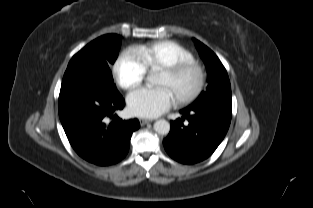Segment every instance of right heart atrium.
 I'll return each instance as SVG.
<instances>
[{
  "mask_svg": "<svg viewBox=\"0 0 313 208\" xmlns=\"http://www.w3.org/2000/svg\"><path fill=\"white\" fill-rule=\"evenodd\" d=\"M116 81L123 89L138 86L144 79L147 69L134 50L123 52L113 67Z\"/></svg>",
  "mask_w": 313,
  "mask_h": 208,
  "instance_id": "d8ad5b80",
  "label": "right heart atrium"
}]
</instances>
